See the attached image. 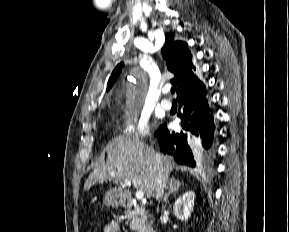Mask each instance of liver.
Here are the masks:
<instances>
[{
    "label": "liver",
    "mask_w": 289,
    "mask_h": 232,
    "mask_svg": "<svg viewBox=\"0 0 289 232\" xmlns=\"http://www.w3.org/2000/svg\"><path fill=\"white\" fill-rule=\"evenodd\" d=\"M105 151L107 159L97 164L90 173L84 184L85 191L96 183L109 180L117 185L127 179L150 199L155 195L156 156L160 157V165L164 171L170 174L173 170L170 157L156 152L153 147L147 146L137 137H115L107 144Z\"/></svg>",
    "instance_id": "6515ba94"
}]
</instances>
